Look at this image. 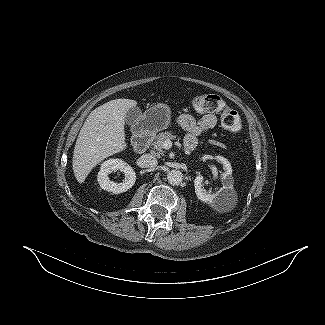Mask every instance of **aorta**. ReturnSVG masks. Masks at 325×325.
Returning a JSON list of instances; mask_svg holds the SVG:
<instances>
[{
  "label": "aorta",
  "instance_id": "1",
  "mask_svg": "<svg viewBox=\"0 0 325 325\" xmlns=\"http://www.w3.org/2000/svg\"><path fill=\"white\" fill-rule=\"evenodd\" d=\"M167 180L171 185H179L183 181V174L180 170L173 169L167 173Z\"/></svg>",
  "mask_w": 325,
  "mask_h": 325
}]
</instances>
